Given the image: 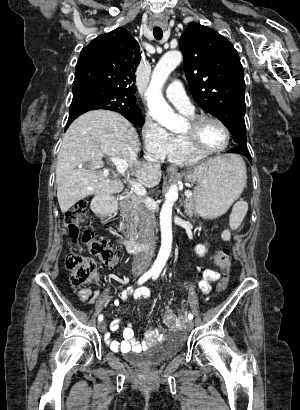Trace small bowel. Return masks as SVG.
Segmentation results:
<instances>
[{"mask_svg":"<svg viewBox=\"0 0 300 410\" xmlns=\"http://www.w3.org/2000/svg\"><path fill=\"white\" fill-rule=\"evenodd\" d=\"M222 237L224 239H229L230 233L229 231H224L222 233ZM220 274L216 270L206 269L202 273V277L199 281V290L203 294H208L211 291L212 283L218 280ZM79 299L82 302H88L89 304L98 303V310H101L104 306V303L100 300V295L96 291H92L90 288H83L78 293ZM150 293L147 289H140L134 291L132 288H128L127 290L120 293L119 298L121 300H126L129 298L139 299V298H148ZM123 321L121 319L114 320L110 325L111 332H116L120 329L121 324ZM122 341H115L110 338V334L107 333L105 335L107 343L109 347L113 351H122L127 352L130 350L133 351H140L152 344L156 341L162 339L161 332L158 328L154 327L151 328L146 334L142 341L138 340L135 337L134 330L131 324H126L122 329Z\"/></svg>","mask_w":300,"mask_h":410,"instance_id":"obj_1","label":"small bowel"}]
</instances>
